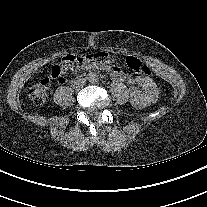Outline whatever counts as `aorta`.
Here are the masks:
<instances>
[{"label": "aorta", "instance_id": "762f6f07", "mask_svg": "<svg viewBox=\"0 0 207 207\" xmlns=\"http://www.w3.org/2000/svg\"><path fill=\"white\" fill-rule=\"evenodd\" d=\"M97 80H98V76L96 74H94L90 77V81H92V82L97 81Z\"/></svg>", "mask_w": 207, "mask_h": 207}]
</instances>
